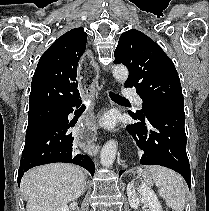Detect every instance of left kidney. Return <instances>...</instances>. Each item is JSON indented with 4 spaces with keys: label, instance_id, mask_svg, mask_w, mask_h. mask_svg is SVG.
Listing matches in <instances>:
<instances>
[{
    "label": "left kidney",
    "instance_id": "5707ae66",
    "mask_svg": "<svg viewBox=\"0 0 209 211\" xmlns=\"http://www.w3.org/2000/svg\"><path fill=\"white\" fill-rule=\"evenodd\" d=\"M127 196L133 209H137L140 204H147L150 211H162L156 194L146 183L130 182L127 186Z\"/></svg>",
    "mask_w": 209,
    "mask_h": 211
}]
</instances>
